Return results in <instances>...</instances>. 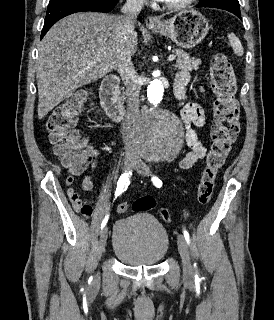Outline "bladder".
I'll use <instances>...</instances> for the list:
<instances>
[{"instance_id": "bladder-1", "label": "bladder", "mask_w": 274, "mask_h": 320, "mask_svg": "<svg viewBox=\"0 0 274 320\" xmlns=\"http://www.w3.org/2000/svg\"><path fill=\"white\" fill-rule=\"evenodd\" d=\"M112 250L127 265L153 266L166 257L169 235L155 217L135 212L114 223Z\"/></svg>"}]
</instances>
